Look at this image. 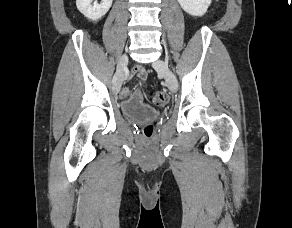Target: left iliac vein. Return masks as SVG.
I'll use <instances>...</instances> for the list:
<instances>
[{"mask_svg":"<svg viewBox=\"0 0 292 228\" xmlns=\"http://www.w3.org/2000/svg\"><path fill=\"white\" fill-rule=\"evenodd\" d=\"M153 67L165 78L169 90L171 92H176L178 88V82L175 75L169 69L168 64L162 60H157L153 63Z\"/></svg>","mask_w":292,"mask_h":228,"instance_id":"left-iliac-vein-1","label":"left iliac vein"}]
</instances>
